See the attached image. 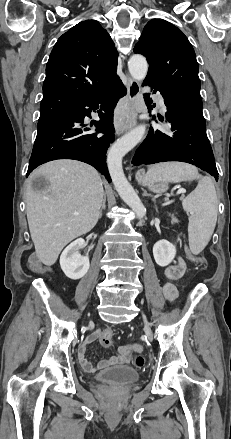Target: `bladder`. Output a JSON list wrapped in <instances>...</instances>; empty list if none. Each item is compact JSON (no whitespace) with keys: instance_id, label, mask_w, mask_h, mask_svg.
Wrapping results in <instances>:
<instances>
[{"instance_id":"bladder-1","label":"bladder","mask_w":231,"mask_h":439,"mask_svg":"<svg viewBox=\"0 0 231 439\" xmlns=\"http://www.w3.org/2000/svg\"><path fill=\"white\" fill-rule=\"evenodd\" d=\"M139 379V373L130 366L120 365L104 370L94 376V380L103 383L129 385Z\"/></svg>"}]
</instances>
